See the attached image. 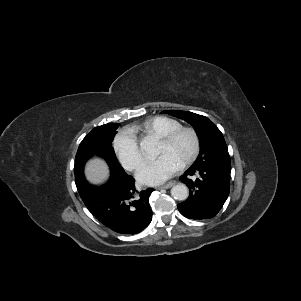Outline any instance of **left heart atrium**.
<instances>
[{
	"label": "left heart atrium",
	"instance_id": "obj_1",
	"mask_svg": "<svg viewBox=\"0 0 301 301\" xmlns=\"http://www.w3.org/2000/svg\"><path fill=\"white\" fill-rule=\"evenodd\" d=\"M181 163L169 154H162L153 161L145 163L138 171V179L146 184H159L172 176Z\"/></svg>",
	"mask_w": 301,
	"mask_h": 301
}]
</instances>
